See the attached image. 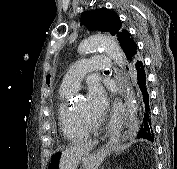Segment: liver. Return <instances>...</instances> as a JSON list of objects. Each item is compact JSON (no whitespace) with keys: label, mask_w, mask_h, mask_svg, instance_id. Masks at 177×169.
Returning a JSON list of instances; mask_svg holds the SVG:
<instances>
[{"label":"liver","mask_w":177,"mask_h":169,"mask_svg":"<svg viewBox=\"0 0 177 169\" xmlns=\"http://www.w3.org/2000/svg\"><path fill=\"white\" fill-rule=\"evenodd\" d=\"M97 140L77 144L61 153L59 169H77L80 161L96 145Z\"/></svg>","instance_id":"1"}]
</instances>
